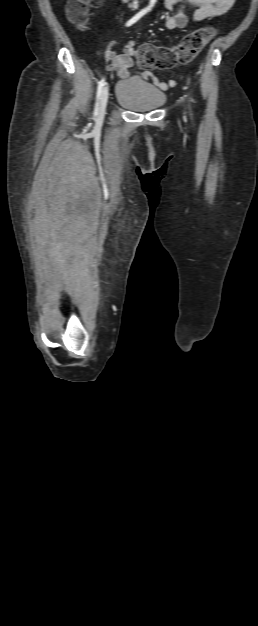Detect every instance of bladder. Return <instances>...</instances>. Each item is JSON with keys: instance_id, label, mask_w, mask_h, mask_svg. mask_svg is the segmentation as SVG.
<instances>
[{"instance_id": "bladder-1", "label": "bladder", "mask_w": 258, "mask_h": 626, "mask_svg": "<svg viewBox=\"0 0 258 626\" xmlns=\"http://www.w3.org/2000/svg\"><path fill=\"white\" fill-rule=\"evenodd\" d=\"M115 99L131 111L149 112L164 105L166 94L141 77L130 76L116 84Z\"/></svg>"}]
</instances>
